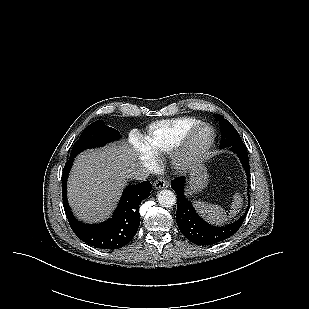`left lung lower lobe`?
Wrapping results in <instances>:
<instances>
[{
  "label": "left lung lower lobe",
  "mask_w": 309,
  "mask_h": 309,
  "mask_svg": "<svg viewBox=\"0 0 309 309\" xmlns=\"http://www.w3.org/2000/svg\"><path fill=\"white\" fill-rule=\"evenodd\" d=\"M227 147L229 150L235 152L240 158L241 163L246 171L247 180L249 183L250 168L245 144H236ZM185 183L186 182L184 177H178L171 182V187L177 194L176 222L181 233L188 240L197 245H213L224 241L238 231L245 219L247 212L249 211L250 202L246 209V213L236 222L223 227H216L205 222L196 213L190 201L185 198Z\"/></svg>",
  "instance_id": "1"
}]
</instances>
